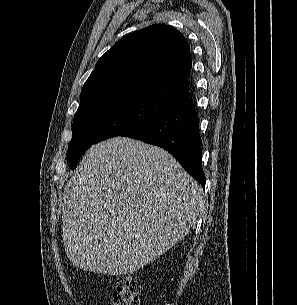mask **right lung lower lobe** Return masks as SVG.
Returning <instances> with one entry per match:
<instances>
[{"instance_id": "obj_1", "label": "right lung lower lobe", "mask_w": 297, "mask_h": 305, "mask_svg": "<svg viewBox=\"0 0 297 305\" xmlns=\"http://www.w3.org/2000/svg\"><path fill=\"white\" fill-rule=\"evenodd\" d=\"M121 136L166 149L203 188L205 187L198 116L189 96Z\"/></svg>"}]
</instances>
